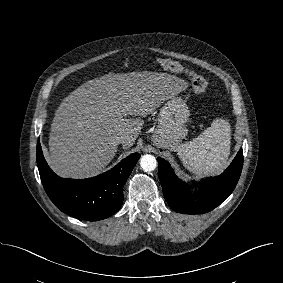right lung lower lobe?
Masks as SVG:
<instances>
[{"label": "right lung lower lobe", "mask_w": 283, "mask_h": 283, "mask_svg": "<svg viewBox=\"0 0 283 283\" xmlns=\"http://www.w3.org/2000/svg\"><path fill=\"white\" fill-rule=\"evenodd\" d=\"M139 158L140 154L134 153L96 177L67 179L49 168L37 143V165L48 197L62 212L87 221L105 219L120 209L123 186Z\"/></svg>", "instance_id": "obj_1"}]
</instances>
